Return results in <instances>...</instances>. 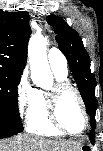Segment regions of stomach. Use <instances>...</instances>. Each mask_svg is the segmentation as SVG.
<instances>
[{
	"mask_svg": "<svg viewBox=\"0 0 103 151\" xmlns=\"http://www.w3.org/2000/svg\"><path fill=\"white\" fill-rule=\"evenodd\" d=\"M77 151H82V148H80L79 150H77Z\"/></svg>",
	"mask_w": 103,
	"mask_h": 151,
	"instance_id": "obj_1",
	"label": "stomach"
}]
</instances>
